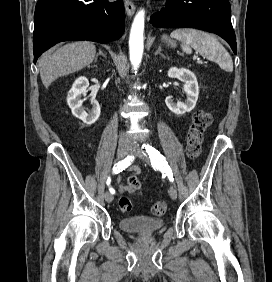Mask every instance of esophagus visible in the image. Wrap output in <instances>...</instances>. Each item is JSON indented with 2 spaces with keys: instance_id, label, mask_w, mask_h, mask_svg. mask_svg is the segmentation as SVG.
<instances>
[{
  "instance_id": "obj_1",
  "label": "esophagus",
  "mask_w": 272,
  "mask_h": 282,
  "mask_svg": "<svg viewBox=\"0 0 272 282\" xmlns=\"http://www.w3.org/2000/svg\"><path fill=\"white\" fill-rule=\"evenodd\" d=\"M124 6H125V10H126V13L129 17H131L134 12H135V5L132 1L130 0H125L124 1Z\"/></svg>"
}]
</instances>
